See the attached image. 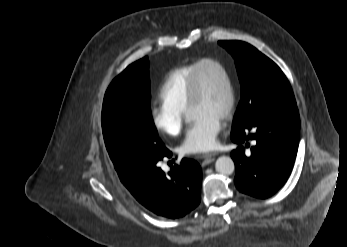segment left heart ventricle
I'll return each mask as SVG.
<instances>
[{"mask_svg": "<svg viewBox=\"0 0 347 247\" xmlns=\"http://www.w3.org/2000/svg\"><path fill=\"white\" fill-rule=\"evenodd\" d=\"M201 97L189 108V115L196 119L202 115L222 118L228 103V89L222 72L210 65H205L199 72Z\"/></svg>", "mask_w": 347, "mask_h": 247, "instance_id": "1", "label": "left heart ventricle"}]
</instances>
